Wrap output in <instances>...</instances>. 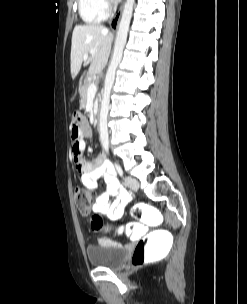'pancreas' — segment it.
<instances>
[{"label":"pancreas","instance_id":"obj_1","mask_svg":"<svg viewBox=\"0 0 247 304\" xmlns=\"http://www.w3.org/2000/svg\"><path fill=\"white\" fill-rule=\"evenodd\" d=\"M91 81L90 80H85V83L83 84V86L79 89V93H80V97H81V101H80V105L82 108H84L86 106L87 103V91H88V87L90 85Z\"/></svg>","mask_w":247,"mask_h":304}]
</instances>
